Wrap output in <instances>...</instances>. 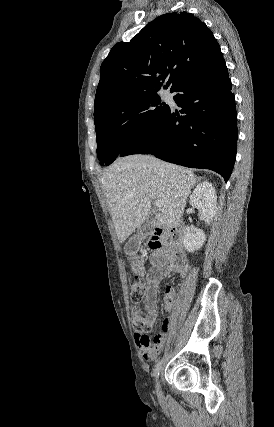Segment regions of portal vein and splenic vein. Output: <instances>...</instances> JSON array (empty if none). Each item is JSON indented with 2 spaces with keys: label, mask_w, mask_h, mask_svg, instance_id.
Wrapping results in <instances>:
<instances>
[{
  "label": "portal vein and splenic vein",
  "mask_w": 274,
  "mask_h": 427,
  "mask_svg": "<svg viewBox=\"0 0 274 427\" xmlns=\"http://www.w3.org/2000/svg\"><path fill=\"white\" fill-rule=\"evenodd\" d=\"M157 208H159V210H162L163 206H162V202H160V200H157V202H155Z\"/></svg>",
  "instance_id": "18ae733b"
}]
</instances>
